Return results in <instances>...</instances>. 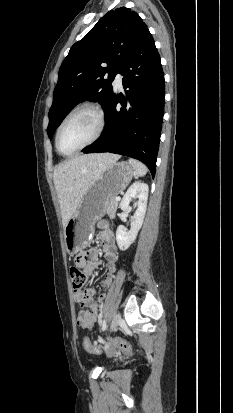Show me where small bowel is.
<instances>
[{"label":"small bowel","instance_id":"small-bowel-1","mask_svg":"<svg viewBox=\"0 0 233 413\" xmlns=\"http://www.w3.org/2000/svg\"><path fill=\"white\" fill-rule=\"evenodd\" d=\"M102 243V251L107 261V273L101 283L102 287L107 288L111 285L116 272V262L118 258L117 247L115 245V238L113 232L104 228L99 236ZM98 251L97 249H81L76 256V264L83 269L85 274L91 275L96 266ZM96 291L94 288H87L74 293V299L82 307L89 309H80L77 313V324L85 329H92L95 325L99 315V304L94 301ZM105 296L99 298V302L104 301Z\"/></svg>","mask_w":233,"mask_h":413}]
</instances>
